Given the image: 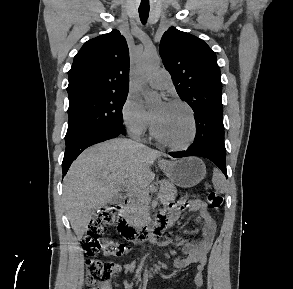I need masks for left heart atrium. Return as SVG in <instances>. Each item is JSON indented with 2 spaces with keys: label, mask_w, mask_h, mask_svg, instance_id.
I'll return each mask as SVG.
<instances>
[{
  "label": "left heart atrium",
  "mask_w": 293,
  "mask_h": 289,
  "mask_svg": "<svg viewBox=\"0 0 293 289\" xmlns=\"http://www.w3.org/2000/svg\"><path fill=\"white\" fill-rule=\"evenodd\" d=\"M167 105H168L167 103L163 104L162 109H164Z\"/></svg>",
  "instance_id": "39dd6f15"
}]
</instances>
